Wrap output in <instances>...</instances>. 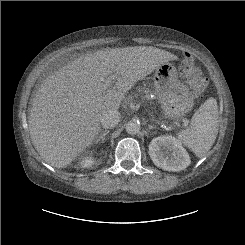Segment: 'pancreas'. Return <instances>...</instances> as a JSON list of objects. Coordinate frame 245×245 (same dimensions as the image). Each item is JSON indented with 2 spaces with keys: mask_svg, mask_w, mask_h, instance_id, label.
Segmentation results:
<instances>
[{
  "mask_svg": "<svg viewBox=\"0 0 245 245\" xmlns=\"http://www.w3.org/2000/svg\"><path fill=\"white\" fill-rule=\"evenodd\" d=\"M144 93L147 95L149 93V90H145Z\"/></svg>",
  "mask_w": 245,
  "mask_h": 245,
  "instance_id": "pancreas-1",
  "label": "pancreas"
}]
</instances>
